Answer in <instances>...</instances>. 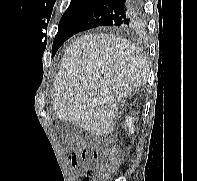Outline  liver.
Listing matches in <instances>:
<instances>
[{
    "mask_svg": "<svg viewBox=\"0 0 197 181\" xmlns=\"http://www.w3.org/2000/svg\"><path fill=\"white\" fill-rule=\"evenodd\" d=\"M146 57L127 39L85 34L65 50L53 87V110L91 135L114 131L122 97L146 84Z\"/></svg>",
    "mask_w": 197,
    "mask_h": 181,
    "instance_id": "6515ba94",
    "label": "liver"
}]
</instances>
